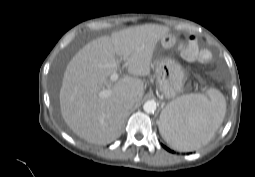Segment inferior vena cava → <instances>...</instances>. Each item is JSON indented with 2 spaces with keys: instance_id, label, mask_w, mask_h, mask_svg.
<instances>
[{
  "instance_id": "obj_1",
  "label": "inferior vena cava",
  "mask_w": 255,
  "mask_h": 177,
  "mask_svg": "<svg viewBox=\"0 0 255 177\" xmlns=\"http://www.w3.org/2000/svg\"><path fill=\"white\" fill-rule=\"evenodd\" d=\"M135 105V100L132 98H129L125 101V107L127 109H131Z\"/></svg>"
}]
</instances>
